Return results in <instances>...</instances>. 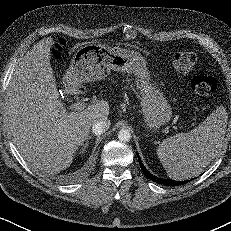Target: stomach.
<instances>
[{
    "label": "stomach",
    "instance_id": "stomach-1",
    "mask_svg": "<svg viewBox=\"0 0 231 231\" xmlns=\"http://www.w3.org/2000/svg\"><path fill=\"white\" fill-rule=\"evenodd\" d=\"M110 70L135 77V85L141 95L144 122L148 128L156 131L171 120V106L158 84L151 78L146 59L137 51L101 45L81 47L74 54L64 81L67 84L99 81Z\"/></svg>",
    "mask_w": 231,
    "mask_h": 231
}]
</instances>
